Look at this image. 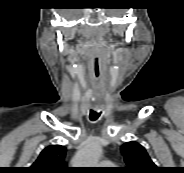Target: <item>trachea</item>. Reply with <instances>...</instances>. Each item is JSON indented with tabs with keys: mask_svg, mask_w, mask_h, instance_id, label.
Returning <instances> with one entry per match:
<instances>
[{
	"mask_svg": "<svg viewBox=\"0 0 184 173\" xmlns=\"http://www.w3.org/2000/svg\"><path fill=\"white\" fill-rule=\"evenodd\" d=\"M98 119V116H93V115H90V120L91 121H95Z\"/></svg>",
	"mask_w": 184,
	"mask_h": 173,
	"instance_id": "3493384b",
	"label": "trachea"
}]
</instances>
